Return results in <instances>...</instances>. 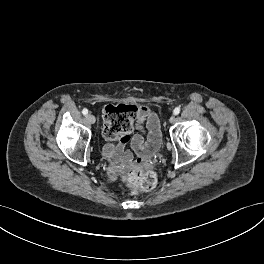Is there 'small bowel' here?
I'll use <instances>...</instances> for the list:
<instances>
[{
    "mask_svg": "<svg viewBox=\"0 0 264 264\" xmlns=\"http://www.w3.org/2000/svg\"><path fill=\"white\" fill-rule=\"evenodd\" d=\"M136 108L134 123L138 133L135 135L129 133L109 139L111 142L104 147L103 154L111 161L109 172L112 178L115 177L118 164H121L124 168L133 164L132 153L125 150L128 143H130L131 148L140 158L151 156L160 145L161 132L157 114L147 106ZM105 125L106 121H104L103 127ZM144 133L147 135L146 139L144 138Z\"/></svg>",
    "mask_w": 264,
    "mask_h": 264,
    "instance_id": "1",
    "label": "small bowel"
}]
</instances>
